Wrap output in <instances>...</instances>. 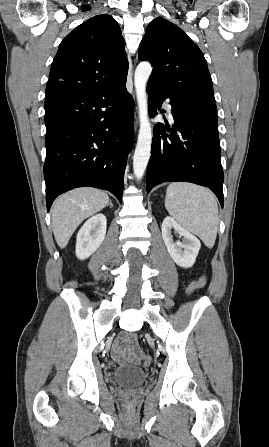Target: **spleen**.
Segmentation results:
<instances>
[{"instance_id":"spleen-1","label":"spleen","mask_w":269,"mask_h":447,"mask_svg":"<svg viewBox=\"0 0 269 447\" xmlns=\"http://www.w3.org/2000/svg\"><path fill=\"white\" fill-rule=\"evenodd\" d=\"M165 208L170 216L213 247L218 231V204L207 188L173 182L167 188Z\"/></svg>"}]
</instances>
